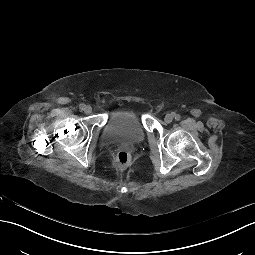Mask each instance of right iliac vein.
Instances as JSON below:
<instances>
[{
  "mask_svg": "<svg viewBox=\"0 0 255 255\" xmlns=\"http://www.w3.org/2000/svg\"><path fill=\"white\" fill-rule=\"evenodd\" d=\"M84 112H85L86 114H90V113L92 112V107L89 106V105L85 106Z\"/></svg>",
  "mask_w": 255,
  "mask_h": 255,
  "instance_id": "1",
  "label": "right iliac vein"
}]
</instances>
